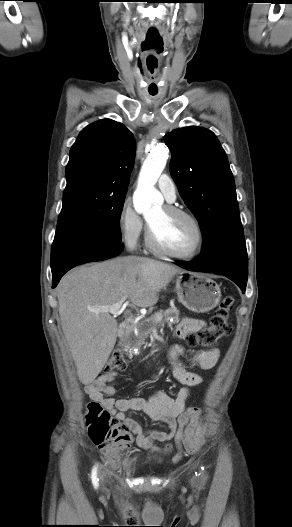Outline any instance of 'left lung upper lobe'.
<instances>
[{
  "label": "left lung upper lobe",
  "mask_w": 292,
  "mask_h": 527,
  "mask_svg": "<svg viewBox=\"0 0 292 527\" xmlns=\"http://www.w3.org/2000/svg\"><path fill=\"white\" fill-rule=\"evenodd\" d=\"M165 143L171 175L203 233L201 252L245 244L233 174L215 134L185 127L167 133Z\"/></svg>",
  "instance_id": "1"
}]
</instances>
